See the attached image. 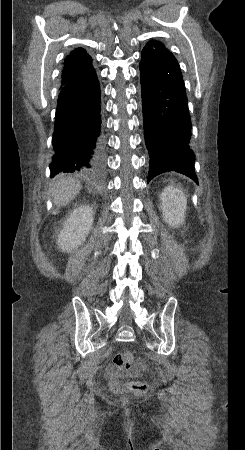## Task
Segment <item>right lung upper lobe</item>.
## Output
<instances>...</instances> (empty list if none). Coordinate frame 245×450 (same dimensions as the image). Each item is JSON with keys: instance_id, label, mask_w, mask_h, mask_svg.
Returning <instances> with one entry per match:
<instances>
[{"instance_id": "right-lung-upper-lobe-1", "label": "right lung upper lobe", "mask_w": 245, "mask_h": 450, "mask_svg": "<svg viewBox=\"0 0 245 450\" xmlns=\"http://www.w3.org/2000/svg\"><path fill=\"white\" fill-rule=\"evenodd\" d=\"M92 59L82 48H77L65 59V66L62 73V86L74 80L85 71L92 68Z\"/></svg>"}]
</instances>
